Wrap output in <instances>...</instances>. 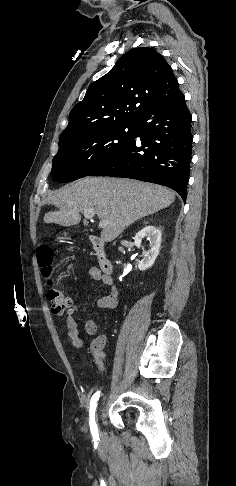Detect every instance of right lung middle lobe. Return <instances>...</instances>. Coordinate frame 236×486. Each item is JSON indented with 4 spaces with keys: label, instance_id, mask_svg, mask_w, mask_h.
<instances>
[{
    "label": "right lung middle lobe",
    "instance_id": "right-lung-middle-lobe-1",
    "mask_svg": "<svg viewBox=\"0 0 236 486\" xmlns=\"http://www.w3.org/2000/svg\"><path fill=\"white\" fill-rule=\"evenodd\" d=\"M136 125H116L82 134L59 143L52 162V177L65 183L88 176L108 158L130 144Z\"/></svg>",
    "mask_w": 236,
    "mask_h": 486
}]
</instances>
